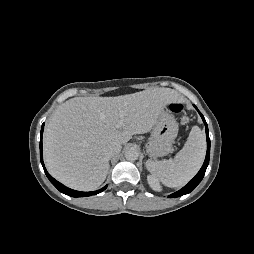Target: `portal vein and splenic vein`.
I'll list each match as a JSON object with an SVG mask.
<instances>
[{
    "label": "portal vein and splenic vein",
    "mask_w": 254,
    "mask_h": 254,
    "mask_svg": "<svg viewBox=\"0 0 254 254\" xmlns=\"http://www.w3.org/2000/svg\"><path fill=\"white\" fill-rule=\"evenodd\" d=\"M124 117H125L124 111H120L119 112V120H118V123L116 124L117 128H120L123 125Z\"/></svg>",
    "instance_id": "portal-vein-and-splenic-vein-1"
}]
</instances>
